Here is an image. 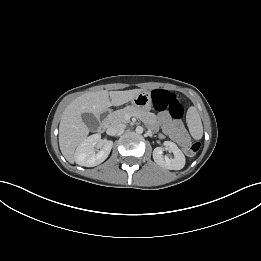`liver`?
Here are the masks:
<instances>
[{
  "instance_id": "6515ba94",
  "label": "liver",
  "mask_w": 261,
  "mask_h": 261,
  "mask_svg": "<svg viewBox=\"0 0 261 261\" xmlns=\"http://www.w3.org/2000/svg\"><path fill=\"white\" fill-rule=\"evenodd\" d=\"M143 89L85 93L74 99L64 110L59 125V146L63 156L73 163L75 149L89 134V128L82 120L83 113L100 115L111 106H121L131 101Z\"/></svg>"
}]
</instances>
